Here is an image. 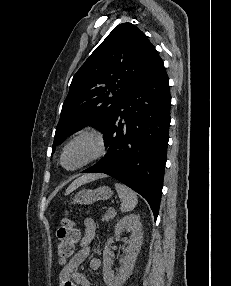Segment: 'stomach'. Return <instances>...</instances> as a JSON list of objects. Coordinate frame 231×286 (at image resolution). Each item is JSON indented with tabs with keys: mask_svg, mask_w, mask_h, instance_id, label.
Wrapping results in <instances>:
<instances>
[{
	"mask_svg": "<svg viewBox=\"0 0 231 286\" xmlns=\"http://www.w3.org/2000/svg\"><path fill=\"white\" fill-rule=\"evenodd\" d=\"M112 191L108 186L98 187L97 189H83L73 198L72 204L90 205L99 200L109 199Z\"/></svg>",
	"mask_w": 231,
	"mask_h": 286,
	"instance_id": "1",
	"label": "stomach"
}]
</instances>
